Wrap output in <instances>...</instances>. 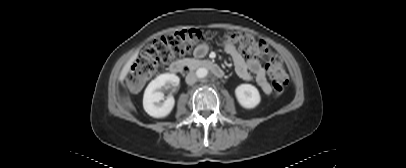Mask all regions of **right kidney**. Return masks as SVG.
Listing matches in <instances>:
<instances>
[{
	"label": "right kidney",
	"mask_w": 406,
	"mask_h": 168,
	"mask_svg": "<svg viewBox=\"0 0 406 168\" xmlns=\"http://www.w3.org/2000/svg\"><path fill=\"white\" fill-rule=\"evenodd\" d=\"M179 81L178 76L170 73L161 74L152 80L144 92V110L155 118H163L169 115L174 107L175 100L172 96H169L164 102H161L164 99V94L159 89L165 85L176 87Z\"/></svg>",
	"instance_id": "1"
}]
</instances>
